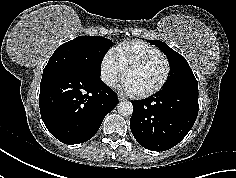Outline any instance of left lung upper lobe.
<instances>
[{"mask_svg":"<svg viewBox=\"0 0 236 178\" xmlns=\"http://www.w3.org/2000/svg\"><path fill=\"white\" fill-rule=\"evenodd\" d=\"M149 42L165 53L170 65V76L163 89H198L197 80L194 77L188 62L182 55L171 49L164 42L158 40H149Z\"/></svg>","mask_w":236,"mask_h":178,"instance_id":"obj_1","label":"left lung upper lobe"}]
</instances>
